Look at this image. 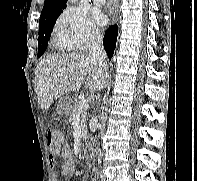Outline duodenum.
<instances>
[{"label": "duodenum", "instance_id": "1", "mask_svg": "<svg viewBox=\"0 0 197 181\" xmlns=\"http://www.w3.org/2000/svg\"><path fill=\"white\" fill-rule=\"evenodd\" d=\"M85 153H86L87 156L91 157L92 153H93L92 148L91 147H86L85 148Z\"/></svg>", "mask_w": 197, "mask_h": 181}]
</instances>
